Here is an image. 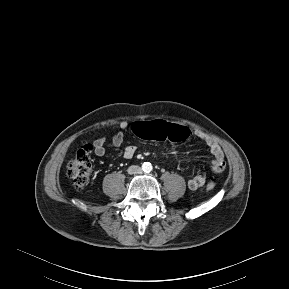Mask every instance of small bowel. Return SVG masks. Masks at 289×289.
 Instances as JSON below:
<instances>
[{
	"label": "small bowel",
	"mask_w": 289,
	"mask_h": 289,
	"mask_svg": "<svg viewBox=\"0 0 289 289\" xmlns=\"http://www.w3.org/2000/svg\"><path fill=\"white\" fill-rule=\"evenodd\" d=\"M133 125L134 124L130 125L126 121L121 122L119 124V131L111 139V144L114 147L121 146L124 141L125 131L128 128H131V130L133 131ZM196 136L205 142V144L208 146L213 156V160L211 163V170L214 173L223 172L226 164H225L224 153L221 147L213 139L205 136L202 132H196ZM105 143H106L105 138H98L93 142L94 152L97 156L103 157L106 154ZM135 153H136V147L129 145L124 148L123 157L125 159H130L135 155ZM206 179H207L206 173L204 172L199 173L188 181V186L192 190L199 189L205 184Z\"/></svg>",
	"instance_id": "c3829d8e"
}]
</instances>
